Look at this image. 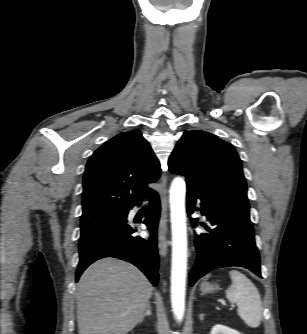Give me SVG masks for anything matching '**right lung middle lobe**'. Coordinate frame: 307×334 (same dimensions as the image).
<instances>
[{"label":"right lung middle lobe","instance_id":"1","mask_svg":"<svg viewBox=\"0 0 307 334\" xmlns=\"http://www.w3.org/2000/svg\"><path fill=\"white\" fill-rule=\"evenodd\" d=\"M128 212L112 213L102 212L81 216V236L79 248H82L101 235L127 225Z\"/></svg>","mask_w":307,"mask_h":334}]
</instances>
